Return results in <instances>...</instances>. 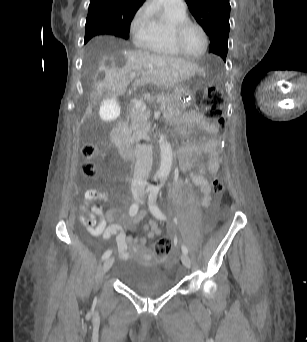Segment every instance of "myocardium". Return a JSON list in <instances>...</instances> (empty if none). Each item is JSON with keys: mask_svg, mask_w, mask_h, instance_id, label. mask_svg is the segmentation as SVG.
Listing matches in <instances>:
<instances>
[{"mask_svg": "<svg viewBox=\"0 0 307 342\" xmlns=\"http://www.w3.org/2000/svg\"><path fill=\"white\" fill-rule=\"evenodd\" d=\"M193 24L198 25L201 28L203 35H204V49H203V52L198 56H192L191 54H189L186 51L184 47V43H183V37H184L185 31L190 25H193ZM171 40H172L174 47L184 57L190 60H201L202 58H204L209 50V45H210L209 33L207 30V27L201 20L197 18H193V17H186L172 24Z\"/></svg>", "mask_w": 307, "mask_h": 342, "instance_id": "1", "label": "myocardium"}]
</instances>
